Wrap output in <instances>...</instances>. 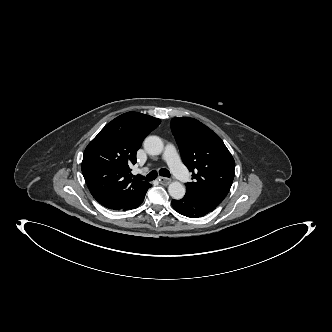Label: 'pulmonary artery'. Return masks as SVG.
<instances>
[{
  "mask_svg": "<svg viewBox=\"0 0 332 332\" xmlns=\"http://www.w3.org/2000/svg\"><path fill=\"white\" fill-rule=\"evenodd\" d=\"M163 158L168 163L172 172L179 180L186 181L188 179V172L183 166V164L180 162L175 147L172 144H168L166 146Z\"/></svg>",
  "mask_w": 332,
  "mask_h": 332,
  "instance_id": "e3ab8cb5",
  "label": "pulmonary artery"
}]
</instances>
